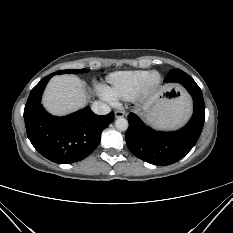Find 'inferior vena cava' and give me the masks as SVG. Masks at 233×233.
<instances>
[{
    "instance_id": "inferior-vena-cava-1",
    "label": "inferior vena cava",
    "mask_w": 233,
    "mask_h": 233,
    "mask_svg": "<svg viewBox=\"0 0 233 233\" xmlns=\"http://www.w3.org/2000/svg\"><path fill=\"white\" fill-rule=\"evenodd\" d=\"M92 111L98 115H106L110 113L111 109L103 102L95 101L91 106Z\"/></svg>"
}]
</instances>
